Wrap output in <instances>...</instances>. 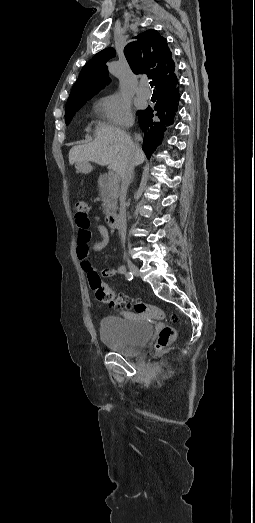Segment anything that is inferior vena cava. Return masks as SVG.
I'll return each mask as SVG.
<instances>
[{
	"label": "inferior vena cava",
	"mask_w": 255,
	"mask_h": 523,
	"mask_svg": "<svg viewBox=\"0 0 255 523\" xmlns=\"http://www.w3.org/2000/svg\"><path fill=\"white\" fill-rule=\"evenodd\" d=\"M137 142H141V136H136ZM133 150H137L138 144H134L132 146ZM126 162L124 166V170H122L120 176L122 180L121 184V190H120V214H119V222H118V230L119 234L121 236L123 248H125V240H126V228H127V222H126V194L128 190V186L133 178V172H134V160L133 156L131 154H126Z\"/></svg>",
	"instance_id": "inferior-vena-cava-1"
}]
</instances>
